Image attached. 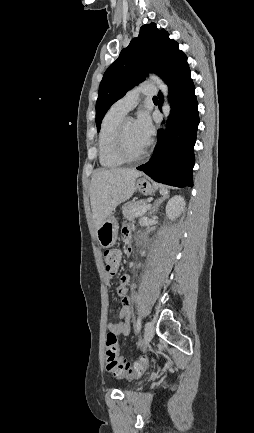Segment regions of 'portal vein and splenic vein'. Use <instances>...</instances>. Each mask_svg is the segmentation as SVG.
I'll list each match as a JSON object with an SVG mask.
<instances>
[{"instance_id":"18ae733b","label":"portal vein and splenic vein","mask_w":254,"mask_h":433,"mask_svg":"<svg viewBox=\"0 0 254 433\" xmlns=\"http://www.w3.org/2000/svg\"><path fill=\"white\" fill-rule=\"evenodd\" d=\"M150 206H151V204H146V206H143L140 210H138L135 213V217L145 214L147 212V210L150 208Z\"/></svg>"}]
</instances>
